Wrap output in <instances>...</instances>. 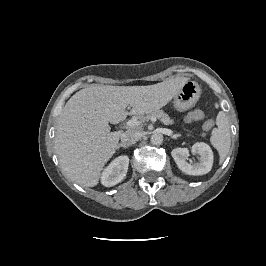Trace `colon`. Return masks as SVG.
Here are the masks:
<instances>
[{
  "instance_id": "obj_1",
  "label": "colon",
  "mask_w": 266,
  "mask_h": 266,
  "mask_svg": "<svg viewBox=\"0 0 266 266\" xmlns=\"http://www.w3.org/2000/svg\"><path fill=\"white\" fill-rule=\"evenodd\" d=\"M204 117H205V114H204L203 111H201V110H194V111H192L191 113L188 114L187 120L188 121L201 120ZM212 125H213V122L211 120H206L204 122L203 127H204L205 130H208V129H210L212 127Z\"/></svg>"
}]
</instances>
